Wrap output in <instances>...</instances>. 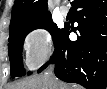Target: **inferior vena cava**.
<instances>
[{"mask_svg": "<svg viewBox=\"0 0 107 89\" xmlns=\"http://www.w3.org/2000/svg\"><path fill=\"white\" fill-rule=\"evenodd\" d=\"M53 70H54V65H50L44 73L52 82L55 80Z\"/></svg>", "mask_w": 107, "mask_h": 89, "instance_id": "602c4592", "label": "inferior vena cava"}]
</instances>
